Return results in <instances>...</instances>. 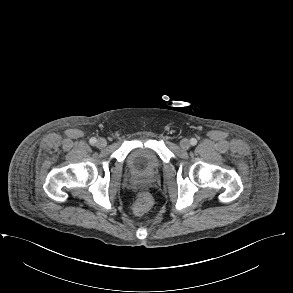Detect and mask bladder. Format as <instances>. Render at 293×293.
<instances>
[{
  "mask_svg": "<svg viewBox=\"0 0 293 293\" xmlns=\"http://www.w3.org/2000/svg\"><path fill=\"white\" fill-rule=\"evenodd\" d=\"M127 164L133 174L148 179L156 177L162 168L158 154L145 147L134 150L128 157Z\"/></svg>",
  "mask_w": 293,
  "mask_h": 293,
  "instance_id": "1",
  "label": "bladder"
}]
</instances>
